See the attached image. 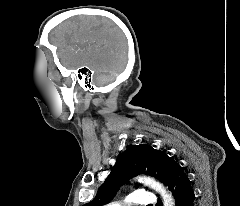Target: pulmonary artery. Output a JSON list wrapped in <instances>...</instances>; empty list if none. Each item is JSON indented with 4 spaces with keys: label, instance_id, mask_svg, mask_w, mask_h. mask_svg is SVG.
<instances>
[{
    "label": "pulmonary artery",
    "instance_id": "e3ab8cb5",
    "mask_svg": "<svg viewBox=\"0 0 240 206\" xmlns=\"http://www.w3.org/2000/svg\"><path fill=\"white\" fill-rule=\"evenodd\" d=\"M129 202L137 205H153L156 202V196L153 193L144 190H138L130 194ZM107 206H122L119 203H111Z\"/></svg>",
    "mask_w": 240,
    "mask_h": 206
}]
</instances>
